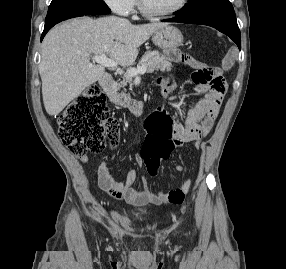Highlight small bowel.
Returning <instances> with one entry per match:
<instances>
[{
    "instance_id": "1",
    "label": "small bowel",
    "mask_w": 286,
    "mask_h": 269,
    "mask_svg": "<svg viewBox=\"0 0 286 269\" xmlns=\"http://www.w3.org/2000/svg\"><path fill=\"white\" fill-rule=\"evenodd\" d=\"M161 89L163 97L166 100L169 99L172 95L171 89L166 87H162ZM197 89L199 90V88ZM224 90L226 92V88H224ZM207 100L208 95H206L202 100L194 104L187 111L186 118L183 123L174 122V126H171L173 135L178 143L177 146H181L184 143L188 142H192L196 148H200L202 146L201 139L203 137H206L213 129L223 101L220 100L218 110H205ZM160 107L166 108V105H162ZM80 161L82 163H87L88 157L84 155L80 158ZM134 161L138 167H142L145 165L143 155H135ZM174 170L176 172H183L184 167L180 164H177L174 166ZM97 174L98 185L104 192H106L115 199L135 204L160 205L163 203H168L173 205H180L182 204V202L178 200L179 191L182 190L187 192L191 186V180L188 179L181 185L179 189L173 190L169 193H165L163 191L153 193L148 187V181L146 178H142L143 188L138 189L133 187L137 179V173L135 170H131L127 173L124 182H119L111 176L108 164L101 165L98 168Z\"/></svg>"
}]
</instances>
